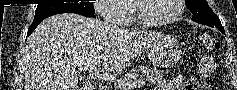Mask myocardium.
<instances>
[{
    "mask_svg": "<svg viewBox=\"0 0 237 90\" xmlns=\"http://www.w3.org/2000/svg\"><path fill=\"white\" fill-rule=\"evenodd\" d=\"M139 1H147V0L130 1L133 7L134 17L138 22L139 28H159L162 26H168V25L176 23L184 12L185 7L182 3H186V0H174L173 4L175 5V11L170 17L163 20L150 21V20L145 19L140 14V11L138 8Z\"/></svg>",
    "mask_w": 237,
    "mask_h": 90,
    "instance_id": "f54148a6",
    "label": "myocardium"
}]
</instances>
